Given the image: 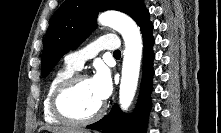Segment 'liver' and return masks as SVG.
Masks as SVG:
<instances>
[{
    "label": "liver",
    "mask_w": 221,
    "mask_h": 133,
    "mask_svg": "<svg viewBox=\"0 0 221 133\" xmlns=\"http://www.w3.org/2000/svg\"><path fill=\"white\" fill-rule=\"evenodd\" d=\"M47 129L51 133H90L88 130L73 129L68 127H41L39 130Z\"/></svg>",
    "instance_id": "liver-1"
}]
</instances>
